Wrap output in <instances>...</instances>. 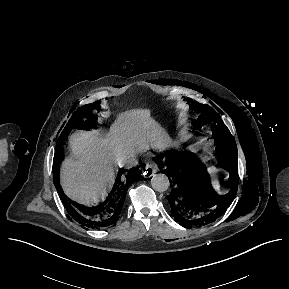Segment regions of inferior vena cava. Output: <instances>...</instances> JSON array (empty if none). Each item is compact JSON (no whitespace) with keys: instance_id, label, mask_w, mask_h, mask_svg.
I'll list each match as a JSON object with an SVG mask.
<instances>
[{"instance_id":"1","label":"inferior vena cava","mask_w":289,"mask_h":289,"mask_svg":"<svg viewBox=\"0 0 289 289\" xmlns=\"http://www.w3.org/2000/svg\"><path fill=\"white\" fill-rule=\"evenodd\" d=\"M137 164V162L135 160H130L128 163V166H135Z\"/></svg>"}]
</instances>
